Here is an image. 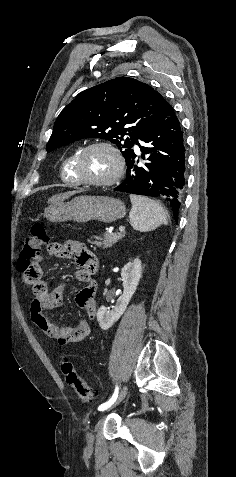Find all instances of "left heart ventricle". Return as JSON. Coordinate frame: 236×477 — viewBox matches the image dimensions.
<instances>
[{
	"mask_svg": "<svg viewBox=\"0 0 236 477\" xmlns=\"http://www.w3.org/2000/svg\"><path fill=\"white\" fill-rule=\"evenodd\" d=\"M116 164L112 154L104 148L90 150L82 160L81 174L89 180H104L113 175Z\"/></svg>",
	"mask_w": 236,
	"mask_h": 477,
	"instance_id": "b2bd125f",
	"label": "left heart ventricle"
}]
</instances>
